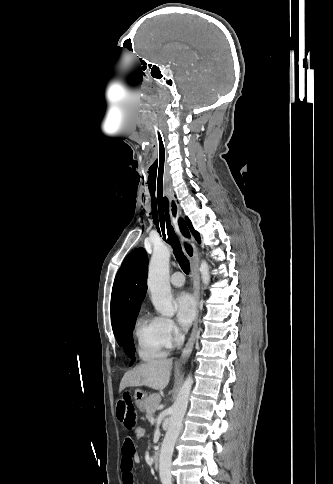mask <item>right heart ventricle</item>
I'll return each mask as SVG.
<instances>
[{
    "instance_id": "right-heart-ventricle-1",
    "label": "right heart ventricle",
    "mask_w": 333,
    "mask_h": 484,
    "mask_svg": "<svg viewBox=\"0 0 333 484\" xmlns=\"http://www.w3.org/2000/svg\"><path fill=\"white\" fill-rule=\"evenodd\" d=\"M137 350L141 359L150 361L167 355L162 337L160 317L141 314L135 324Z\"/></svg>"
}]
</instances>
